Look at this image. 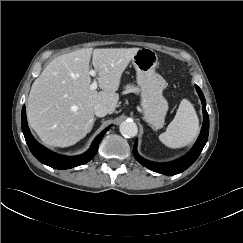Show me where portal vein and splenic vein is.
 Wrapping results in <instances>:
<instances>
[{
  "mask_svg": "<svg viewBox=\"0 0 243 243\" xmlns=\"http://www.w3.org/2000/svg\"><path fill=\"white\" fill-rule=\"evenodd\" d=\"M89 74H90L91 76H94V77H95V76H96V71H95V70H90ZM97 87H98L97 81L94 80V81L92 82V84L90 85V90L94 91V90L97 89Z\"/></svg>",
  "mask_w": 243,
  "mask_h": 243,
  "instance_id": "18ae733b",
  "label": "portal vein and splenic vein"
}]
</instances>
